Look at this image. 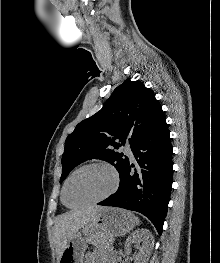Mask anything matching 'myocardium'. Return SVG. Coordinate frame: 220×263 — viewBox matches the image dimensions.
<instances>
[{"label": "myocardium", "instance_id": "obj_1", "mask_svg": "<svg viewBox=\"0 0 220 263\" xmlns=\"http://www.w3.org/2000/svg\"><path fill=\"white\" fill-rule=\"evenodd\" d=\"M95 166L106 168L111 173L112 178H113V183H112V186L109 189V191L106 192L104 195L98 197V198H95V199H92V200H89V201H86V202H83L80 204L70 205L69 203H67L66 192H67V188H68L69 182L72 179V177L76 173H78L79 171H81L85 168L95 167ZM119 184H120L119 173L111 164H109L107 162H102V161L90 162V163H87V164H84V165L78 167L68 176V178L66 179L64 186H63L62 201L67 207H70V208H78V207H83V206H87V205L97 204V203H100V202L106 200L110 196H112L117 191Z\"/></svg>", "mask_w": 220, "mask_h": 263}]
</instances>
